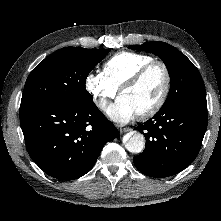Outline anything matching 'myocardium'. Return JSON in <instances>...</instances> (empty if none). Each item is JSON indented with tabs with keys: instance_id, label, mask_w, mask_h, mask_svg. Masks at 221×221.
Returning <instances> with one entry per match:
<instances>
[{
	"instance_id": "myocardium-1",
	"label": "myocardium",
	"mask_w": 221,
	"mask_h": 221,
	"mask_svg": "<svg viewBox=\"0 0 221 221\" xmlns=\"http://www.w3.org/2000/svg\"><path fill=\"white\" fill-rule=\"evenodd\" d=\"M153 66H160L163 69L165 74V84L162 94L156 103L147 110L137 113V117L140 119H147L154 116L166 103L171 90L172 82V76L169 67L163 61L152 60L138 68L119 88V95L121 96L124 91L134 87L142 79L145 73Z\"/></svg>"
}]
</instances>
